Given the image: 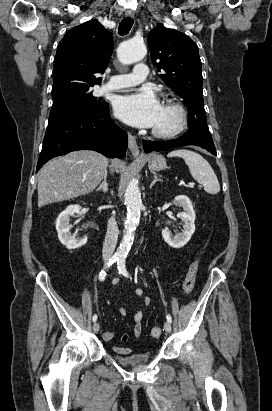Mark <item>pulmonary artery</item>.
I'll use <instances>...</instances> for the list:
<instances>
[{"instance_id":"pulmonary-artery-1","label":"pulmonary artery","mask_w":272,"mask_h":411,"mask_svg":"<svg viewBox=\"0 0 272 411\" xmlns=\"http://www.w3.org/2000/svg\"><path fill=\"white\" fill-rule=\"evenodd\" d=\"M147 76V66L144 63H138L133 72L113 76L110 82L101 88V92L136 86L146 80Z\"/></svg>"}]
</instances>
